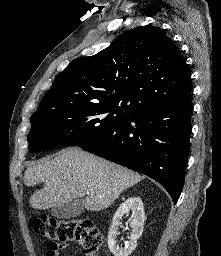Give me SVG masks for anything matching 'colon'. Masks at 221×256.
I'll list each match as a JSON object with an SVG mask.
<instances>
[{"mask_svg": "<svg viewBox=\"0 0 221 256\" xmlns=\"http://www.w3.org/2000/svg\"><path fill=\"white\" fill-rule=\"evenodd\" d=\"M32 230L48 240L47 251L59 255L72 242L80 245L87 256H96L103 244V237L90 219L58 220L47 215L29 220Z\"/></svg>", "mask_w": 221, "mask_h": 256, "instance_id": "obj_1", "label": "colon"}]
</instances>
